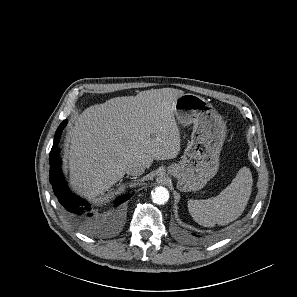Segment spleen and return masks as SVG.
I'll return each instance as SVG.
<instances>
[{"label": "spleen", "instance_id": "3e777b00", "mask_svg": "<svg viewBox=\"0 0 297 297\" xmlns=\"http://www.w3.org/2000/svg\"><path fill=\"white\" fill-rule=\"evenodd\" d=\"M253 178L249 168H241L231 184L216 197L206 200L189 199L192 218L204 227L226 225L245 210L252 192Z\"/></svg>", "mask_w": 297, "mask_h": 297}]
</instances>
